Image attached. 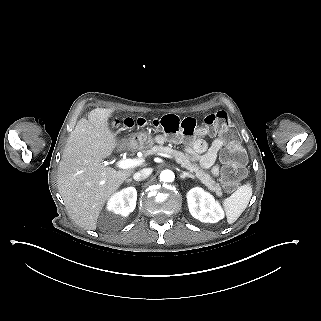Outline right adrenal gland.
Instances as JSON below:
<instances>
[{"label": "right adrenal gland", "mask_w": 321, "mask_h": 321, "mask_svg": "<svg viewBox=\"0 0 321 321\" xmlns=\"http://www.w3.org/2000/svg\"><path fill=\"white\" fill-rule=\"evenodd\" d=\"M126 182H132V178L126 179Z\"/></svg>", "instance_id": "obj_1"}]
</instances>
